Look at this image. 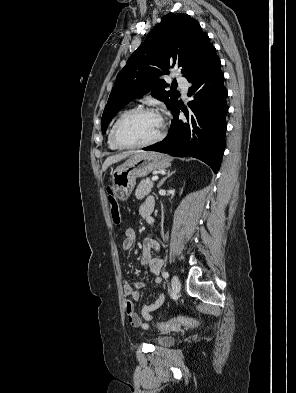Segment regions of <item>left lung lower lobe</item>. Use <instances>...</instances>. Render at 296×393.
<instances>
[{"instance_id": "0a47b994", "label": "left lung lower lobe", "mask_w": 296, "mask_h": 393, "mask_svg": "<svg viewBox=\"0 0 296 393\" xmlns=\"http://www.w3.org/2000/svg\"><path fill=\"white\" fill-rule=\"evenodd\" d=\"M223 79L221 62L214 49L187 79L192 84L188 93V96H193L188 103L190 110L181 108L178 103L172 112L168 136L143 149L177 157H195L207 163L216 173L225 149V117L228 112ZM180 110L185 113L186 120L179 119Z\"/></svg>"}]
</instances>
